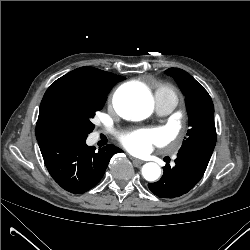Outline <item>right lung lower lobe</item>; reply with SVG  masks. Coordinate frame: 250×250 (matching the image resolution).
<instances>
[{"label": "right lung lower lobe", "mask_w": 250, "mask_h": 250, "mask_svg": "<svg viewBox=\"0 0 250 250\" xmlns=\"http://www.w3.org/2000/svg\"><path fill=\"white\" fill-rule=\"evenodd\" d=\"M87 136L66 133L38 140L50 175L62 188L74 194L94 187L103 177L111 157L121 152L111 144L95 152L93 146L86 145Z\"/></svg>", "instance_id": "right-lung-lower-lobe-1"}]
</instances>
